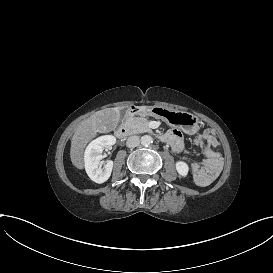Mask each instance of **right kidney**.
I'll use <instances>...</instances> for the list:
<instances>
[{
	"mask_svg": "<svg viewBox=\"0 0 273 273\" xmlns=\"http://www.w3.org/2000/svg\"><path fill=\"white\" fill-rule=\"evenodd\" d=\"M115 138L112 136L100 137L93 141L87 148L85 153V168L88 176L97 184L105 183L111 176L113 169V161L108 160L105 169L102 170L98 166L103 162V156L99 153L103 152L108 145H113Z\"/></svg>",
	"mask_w": 273,
	"mask_h": 273,
	"instance_id": "1",
	"label": "right kidney"
}]
</instances>
